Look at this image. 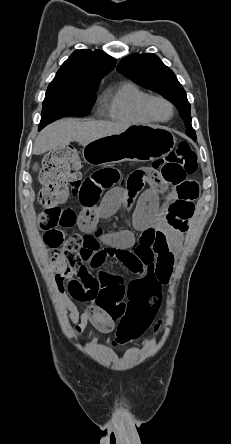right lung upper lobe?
I'll return each instance as SVG.
<instances>
[{"mask_svg":"<svg viewBox=\"0 0 231 444\" xmlns=\"http://www.w3.org/2000/svg\"><path fill=\"white\" fill-rule=\"evenodd\" d=\"M116 60L101 50H76L62 64L48 89H98L104 75L109 73Z\"/></svg>","mask_w":231,"mask_h":444,"instance_id":"obj_1","label":"right lung upper lobe"}]
</instances>
